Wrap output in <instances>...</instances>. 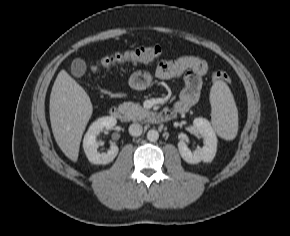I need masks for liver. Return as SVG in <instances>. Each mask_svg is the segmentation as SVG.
I'll return each instance as SVG.
<instances>
[{"label":"liver","instance_id":"obj_1","mask_svg":"<svg viewBox=\"0 0 290 236\" xmlns=\"http://www.w3.org/2000/svg\"><path fill=\"white\" fill-rule=\"evenodd\" d=\"M93 107L85 90L61 70L50 94V122L56 143L62 152L76 162L83 132Z\"/></svg>","mask_w":290,"mask_h":236}]
</instances>
